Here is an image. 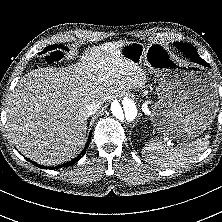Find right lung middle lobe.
<instances>
[{
	"label": "right lung middle lobe",
	"instance_id": "right-lung-middle-lobe-1",
	"mask_svg": "<svg viewBox=\"0 0 222 222\" xmlns=\"http://www.w3.org/2000/svg\"><path fill=\"white\" fill-rule=\"evenodd\" d=\"M60 47H62V46H60ZM60 47H59V48H60ZM62 48H63V49H66L65 47H62Z\"/></svg>",
	"mask_w": 222,
	"mask_h": 222
}]
</instances>
